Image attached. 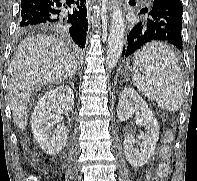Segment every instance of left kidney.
<instances>
[{
	"label": "left kidney",
	"mask_w": 197,
	"mask_h": 181,
	"mask_svg": "<svg viewBox=\"0 0 197 181\" xmlns=\"http://www.w3.org/2000/svg\"><path fill=\"white\" fill-rule=\"evenodd\" d=\"M118 118L126 121L136 116V123L144 127V132H140V150L134 148V137L127 135L124 138L123 148L127 161L134 167H142L154 154L156 143L159 139V125L145 100L135 89L125 88L119 98Z\"/></svg>",
	"instance_id": "5707ae66"
}]
</instances>
